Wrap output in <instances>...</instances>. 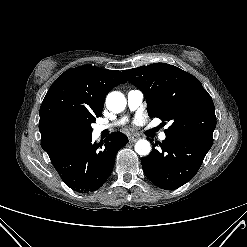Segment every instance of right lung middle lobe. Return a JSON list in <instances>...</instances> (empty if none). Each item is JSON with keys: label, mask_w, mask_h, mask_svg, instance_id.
Segmentation results:
<instances>
[{"label": "right lung middle lobe", "mask_w": 247, "mask_h": 247, "mask_svg": "<svg viewBox=\"0 0 247 247\" xmlns=\"http://www.w3.org/2000/svg\"><path fill=\"white\" fill-rule=\"evenodd\" d=\"M95 120L87 121L80 125L77 128H74L68 132V136L71 140H75L77 138L88 136L92 134L91 123H94Z\"/></svg>", "instance_id": "obj_1"}]
</instances>
